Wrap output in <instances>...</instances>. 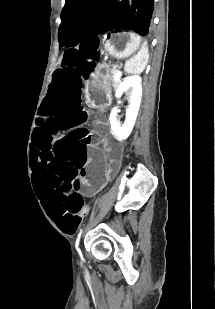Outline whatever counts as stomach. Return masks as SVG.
Returning a JSON list of instances; mask_svg holds the SVG:
<instances>
[{"instance_id": "stomach-1", "label": "stomach", "mask_w": 215, "mask_h": 309, "mask_svg": "<svg viewBox=\"0 0 215 309\" xmlns=\"http://www.w3.org/2000/svg\"><path fill=\"white\" fill-rule=\"evenodd\" d=\"M104 54L111 58L126 59L141 50L142 38L129 31H119L106 34L102 38ZM111 66L101 64L86 82V92L91 100L104 101L109 93L111 84Z\"/></svg>"}]
</instances>
